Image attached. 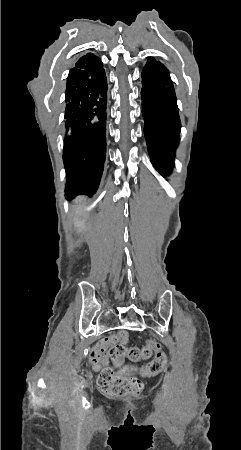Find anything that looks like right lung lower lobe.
Returning <instances> with one entry per match:
<instances>
[{"mask_svg":"<svg viewBox=\"0 0 241 450\" xmlns=\"http://www.w3.org/2000/svg\"><path fill=\"white\" fill-rule=\"evenodd\" d=\"M65 103L66 198L92 196L106 157L107 79L100 59L70 70Z\"/></svg>","mask_w":241,"mask_h":450,"instance_id":"1","label":"right lung lower lobe"}]
</instances>
